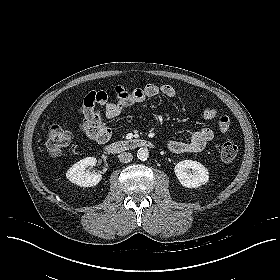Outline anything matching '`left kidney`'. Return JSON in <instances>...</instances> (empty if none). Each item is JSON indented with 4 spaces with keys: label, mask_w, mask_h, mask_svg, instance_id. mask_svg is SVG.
<instances>
[{
    "label": "left kidney",
    "mask_w": 280,
    "mask_h": 280,
    "mask_svg": "<svg viewBox=\"0 0 280 280\" xmlns=\"http://www.w3.org/2000/svg\"><path fill=\"white\" fill-rule=\"evenodd\" d=\"M174 172L179 182L186 188H198L209 180L207 168L193 160H183L177 163Z\"/></svg>",
    "instance_id": "obj_1"
}]
</instances>
